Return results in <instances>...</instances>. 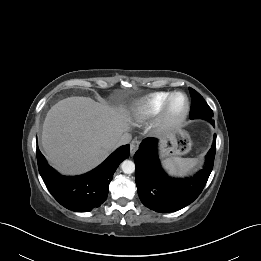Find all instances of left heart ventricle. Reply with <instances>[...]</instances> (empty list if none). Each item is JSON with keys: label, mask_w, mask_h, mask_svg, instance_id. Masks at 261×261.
<instances>
[{"label": "left heart ventricle", "mask_w": 261, "mask_h": 261, "mask_svg": "<svg viewBox=\"0 0 261 261\" xmlns=\"http://www.w3.org/2000/svg\"><path fill=\"white\" fill-rule=\"evenodd\" d=\"M185 108V99L182 96H177L172 102L171 111L173 115H179Z\"/></svg>", "instance_id": "b2bd125f"}]
</instances>
